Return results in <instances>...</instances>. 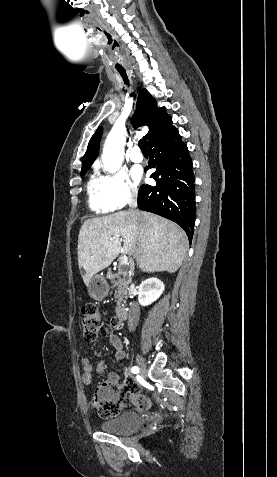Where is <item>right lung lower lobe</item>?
Here are the masks:
<instances>
[{"instance_id": "98d812e1", "label": "right lung lower lobe", "mask_w": 277, "mask_h": 477, "mask_svg": "<svg viewBox=\"0 0 277 477\" xmlns=\"http://www.w3.org/2000/svg\"><path fill=\"white\" fill-rule=\"evenodd\" d=\"M147 169L155 168V186L142 185L138 207L179 224L191 243L195 224V188L192 160L186 143L174 127L165 137L150 144Z\"/></svg>"}]
</instances>
